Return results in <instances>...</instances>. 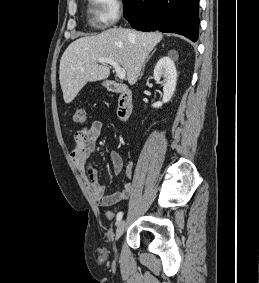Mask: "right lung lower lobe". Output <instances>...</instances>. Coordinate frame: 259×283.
<instances>
[{
  "mask_svg": "<svg viewBox=\"0 0 259 283\" xmlns=\"http://www.w3.org/2000/svg\"><path fill=\"white\" fill-rule=\"evenodd\" d=\"M124 17L141 31L184 35L193 42L199 32V0H123Z\"/></svg>",
  "mask_w": 259,
  "mask_h": 283,
  "instance_id": "98d812e1",
  "label": "right lung lower lobe"
}]
</instances>
